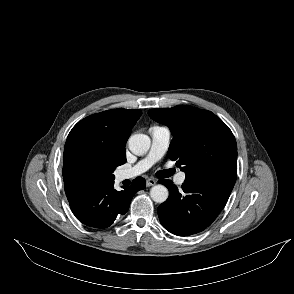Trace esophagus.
Segmentation results:
<instances>
[{
    "mask_svg": "<svg viewBox=\"0 0 294 294\" xmlns=\"http://www.w3.org/2000/svg\"><path fill=\"white\" fill-rule=\"evenodd\" d=\"M155 184H156V180L153 179V178H148V179L146 180V185H147V187L153 186V185H155Z\"/></svg>",
    "mask_w": 294,
    "mask_h": 294,
    "instance_id": "obj_1",
    "label": "esophagus"
}]
</instances>
